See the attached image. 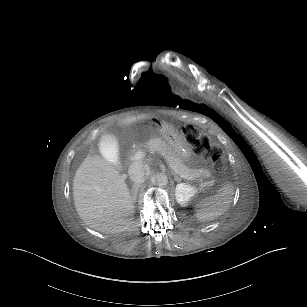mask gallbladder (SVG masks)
Returning <instances> with one entry per match:
<instances>
[{
    "instance_id": "gallbladder-1",
    "label": "gallbladder",
    "mask_w": 307,
    "mask_h": 307,
    "mask_svg": "<svg viewBox=\"0 0 307 307\" xmlns=\"http://www.w3.org/2000/svg\"><path fill=\"white\" fill-rule=\"evenodd\" d=\"M98 148L100 154L105 158L106 161H111L115 165L116 170L122 169L120 154V144L116 135L101 134L98 139Z\"/></svg>"
}]
</instances>
